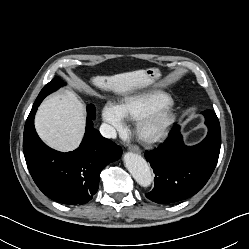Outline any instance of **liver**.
Returning <instances> with one entry per match:
<instances>
[{
    "label": "liver",
    "mask_w": 249,
    "mask_h": 249,
    "mask_svg": "<svg viewBox=\"0 0 249 249\" xmlns=\"http://www.w3.org/2000/svg\"><path fill=\"white\" fill-rule=\"evenodd\" d=\"M150 82L144 70L91 79L95 87L118 95L145 87ZM85 121L84 104L73 92L65 90L43 101L35 117V128L47 145L58 151L68 152L79 146L85 131Z\"/></svg>",
    "instance_id": "6515ba94"
}]
</instances>
